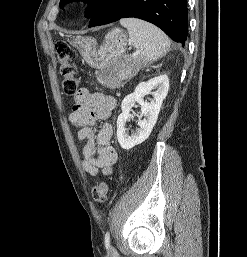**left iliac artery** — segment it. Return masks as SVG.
I'll list each match as a JSON object with an SVG mask.
<instances>
[{
    "label": "left iliac artery",
    "instance_id": "44dca946",
    "mask_svg": "<svg viewBox=\"0 0 247 257\" xmlns=\"http://www.w3.org/2000/svg\"><path fill=\"white\" fill-rule=\"evenodd\" d=\"M105 246L108 249L110 247V234L109 232H106L105 234Z\"/></svg>",
    "mask_w": 247,
    "mask_h": 257
}]
</instances>
